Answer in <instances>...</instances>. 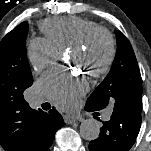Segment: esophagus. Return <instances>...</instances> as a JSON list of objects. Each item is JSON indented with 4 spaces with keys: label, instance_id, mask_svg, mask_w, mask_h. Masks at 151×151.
Wrapping results in <instances>:
<instances>
[{
    "label": "esophagus",
    "instance_id": "34e87169",
    "mask_svg": "<svg viewBox=\"0 0 151 151\" xmlns=\"http://www.w3.org/2000/svg\"><path fill=\"white\" fill-rule=\"evenodd\" d=\"M64 122L68 124H72L73 122H76L81 119L78 115H64Z\"/></svg>",
    "mask_w": 151,
    "mask_h": 151
}]
</instances>
